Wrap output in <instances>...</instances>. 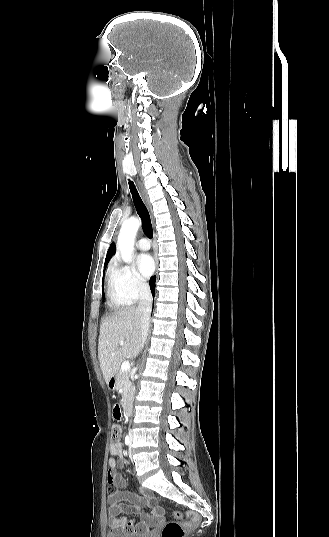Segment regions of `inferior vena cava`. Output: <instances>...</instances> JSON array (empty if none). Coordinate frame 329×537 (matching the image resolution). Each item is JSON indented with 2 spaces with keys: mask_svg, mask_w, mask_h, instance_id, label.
Wrapping results in <instances>:
<instances>
[{
  "mask_svg": "<svg viewBox=\"0 0 329 537\" xmlns=\"http://www.w3.org/2000/svg\"><path fill=\"white\" fill-rule=\"evenodd\" d=\"M152 309V294L148 284L140 287V301L137 312L140 315L142 342L144 343L148 334L150 314Z\"/></svg>",
  "mask_w": 329,
  "mask_h": 537,
  "instance_id": "1",
  "label": "inferior vena cava"
}]
</instances>
